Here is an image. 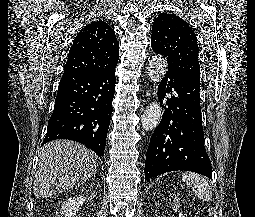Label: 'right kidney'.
<instances>
[{
  "label": "right kidney",
  "mask_w": 255,
  "mask_h": 217,
  "mask_svg": "<svg viewBox=\"0 0 255 217\" xmlns=\"http://www.w3.org/2000/svg\"><path fill=\"white\" fill-rule=\"evenodd\" d=\"M85 198L83 196H71L61 207V214L65 217H73L83 205Z\"/></svg>",
  "instance_id": "ca27d5eb"
}]
</instances>
